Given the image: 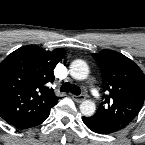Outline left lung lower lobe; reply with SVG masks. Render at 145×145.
Listing matches in <instances>:
<instances>
[{
    "label": "left lung lower lobe",
    "mask_w": 145,
    "mask_h": 145,
    "mask_svg": "<svg viewBox=\"0 0 145 145\" xmlns=\"http://www.w3.org/2000/svg\"><path fill=\"white\" fill-rule=\"evenodd\" d=\"M84 124L93 132L98 134H110L113 133V131L106 129L94 122V120L90 117H83L82 118Z\"/></svg>",
    "instance_id": "left-lung-lower-lobe-1"
}]
</instances>
